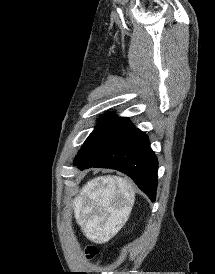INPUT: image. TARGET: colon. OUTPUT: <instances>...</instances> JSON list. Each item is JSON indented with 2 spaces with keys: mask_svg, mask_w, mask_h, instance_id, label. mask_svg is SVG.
Segmentation results:
<instances>
[{
  "mask_svg": "<svg viewBox=\"0 0 215 274\" xmlns=\"http://www.w3.org/2000/svg\"><path fill=\"white\" fill-rule=\"evenodd\" d=\"M98 255V248L96 246H88L85 249V256L87 259L92 260Z\"/></svg>",
  "mask_w": 215,
  "mask_h": 274,
  "instance_id": "colon-1",
  "label": "colon"
}]
</instances>
